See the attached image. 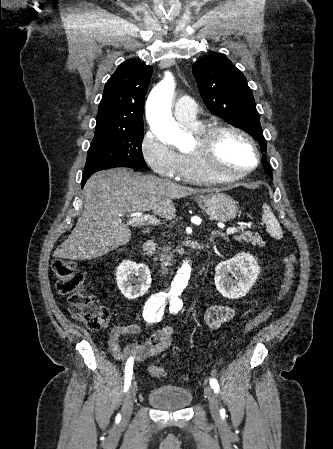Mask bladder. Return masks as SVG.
Here are the masks:
<instances>
[{"instance_id":"obj_1","label":"bladder","mask_w":333,"mask_h":449,"mask_svg":"<svg viewBox=\"0 0 333 449\" xmlns=\"http://www.w3.org/2000/svg\"><path fill=\"white\" fill-rule=\"evenodd\" d=\"M147 401L160 410H179L191 404L192 393L183 386L159 385L148 392Z\"/></svg>"}]
</instances>
